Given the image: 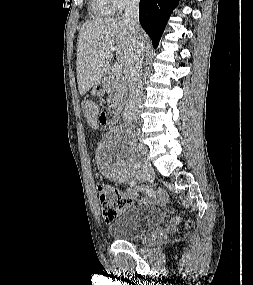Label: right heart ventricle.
Returning a JSON list of instances; mask_svg holds the SVG:
<instances>
[{
	"mask_svg": "<svg viewBox=\"0 0 253 285\" xmlns=\"http://www.w3.org/2000/svg\"><path fill=\"white\" fill-rule=\"evenodd\" d=\"M91 11L98 17H106L114 14L115 8L110 0H91Z\"/></svg>",
	"mask_w": 253,
	"mask_h": 285,
	"instance_id": "e07e8e85",
	"label": "right heart ventricle"
}]
</instances>
